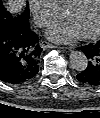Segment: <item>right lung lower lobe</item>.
<instances>
[{
    "instance_id": "1",
    "label": "right lung lower lobe",
    "mask_w": 100,
    "mask_h": 118,
    "mask_svg": "<svg viewBox=\"0 0 100 118\" xmlns=\"http://www.w3.org/2000/svg\"><path fill=\"white\" fill-rule=\"evenodd\" d=\"M38 40L28 25L0 29V80L24 84L38 73L42 52Z\"/></svg>"
}]
</instances>
